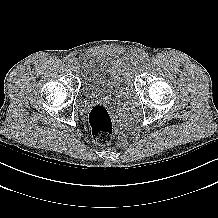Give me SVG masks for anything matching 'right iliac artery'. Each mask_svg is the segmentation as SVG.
I'll return each instance as SVG.
<instances>
[{
    "label": "right iliac artery",
    "mask_w": 218,
    "mask_h": 218,
    "mask_svg": "<svg viewBox=\"0 0 218 218\" xmlns=\"http://www.w3.org/2000/svg\"><path fill=\"white\" fill-rule=\"evenodd\" d=\"M72 58L70 56H66L64 57L63 61L67 64H69L71 62Z\"/></svg>",
    "instance_id": "82829eb1"
}]
</instances>
